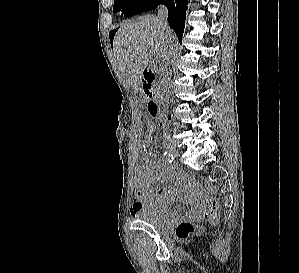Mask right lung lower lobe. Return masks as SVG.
<instances>
[{
    "mask_svg": "<svg viewBox=\"0 0 299 273\" xmlns=\"http://www.w3.org/2000/svg\"><path fill=\"white\" fill-rule=\"evenodd\" d=\"M188 0H137L125 13V17L139 12L155 9L164 4L168 8V22L182 43V35L185 27V14Z\"/></svg>",
    "mask_w": 299,
    "mask_h": 273,
    "instance_id": "1",
    "label": "right lung lower lobe"
}]
</instances>
